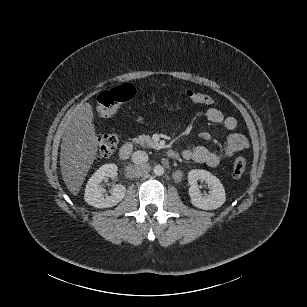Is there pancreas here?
I'll return each mask as SVG.
<instances>
[{
  "label": "pancreas",
  "mask_w": 307,
  "mask_h": 307,
  "mask_svg": "<svg viewBox=\"0 0 307 307\" xmlns=\"http://www.w3.org/2000/svg\"><path fill=\"white\" fill-rule=\"evenodd\" d=\"M133 142L139 143L142 146L155 147V143L148 135H139L137 138L133 139Z\"/></svg>",
  "instance_id": "1"
}]
</instances>
